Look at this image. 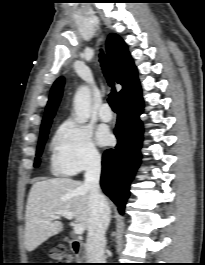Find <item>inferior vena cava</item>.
<instances>
[{"label":"inferior vena cava","instance_id":"602c4592","mask_svg":"<svg viewBox=\"0 0 205 265\" xmlns=\"http://www.w3.org/2000/svg\"><path fill=\"white\" fill-rule=\"evenodd\" d=\"M101 157L92 153L86 165L84 185L89 189L91 210L87 235V257L89 263H104L105 232L110 223V208L100 192Z\"/></svg>","mask_w":205,"mask_h":265}]
</instances>
